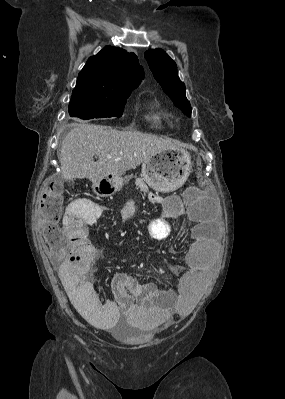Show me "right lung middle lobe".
Instances as JSON below:
<instances>
[{"label":"right lung middle lobe","mask_w":285,"mask_h":399,"mask_svg":"<svg viewBox=\"0 0 285 399\" xmlns=\"http://www.w3.org/2000/svg\"><path fill=\"white\" fill-rule=\"evenodd\" d=\"M131 92L114 94L108 97L72 96L69 103L71 117L81 119L121 117L124 104Z\"/></svg>","instance_id":"obj_1"}]
</instances>
